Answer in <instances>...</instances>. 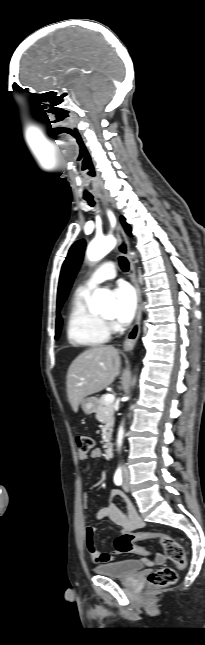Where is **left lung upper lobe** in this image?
<instances>
[{
    "mask_svg": "<svg viewBox=\"0 0 205 645\" xmlns=\"http://www.w3.org/2000/svg\"><path fill=\"white\" fill-rule=\"evenodd\" d=\"M122 225L125 228V231L128 235H131L130 226L125 222V218L121 217ZM86 243L84 240H79L75 242L63 263L59 285H58V295H57V308L60 309L63 302L66 300L68 292L71 288L75 275L79 269V266L83 260L84 250Z\"/></svg>",
    "mask_w": 205,
    "mask_h": 645,
    "instance_id": "5c2ea615",
    "label": "left lung upper lobe"
}]
</instances>
